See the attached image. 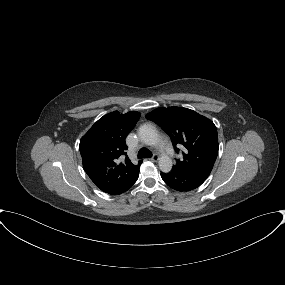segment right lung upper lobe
Segmentation results:
<instances>
[{
  "mask_svg": "<svg viewBox=\"0 0 285 285\" xmlns=\"http://www.w3.org/2000/svg\"><path fill=\"white\" fill-rule=\"evenodd\" d=\"M139 118L140 113L135 111L111 112L100 118L80 140L84 170L106 193L120 191L138 178L142 161L134 165L123 156L127 149L125 138Z\"/></svg>",
  "mask_w": 285,
  "mask_h": 285,
  "instance_id": "cb5924a9",
  "label": "right lung upper lobe"
}]
</instances>
